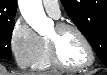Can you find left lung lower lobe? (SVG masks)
Instances as JSON below:
<instances>
[{
    "mask_svg": "<svg viewBox=\"0 0 107 75\" xmlns=\"http://www.w3.org/2000/svg\"><path fill=\"white\" fill-rule=\"evenodd\" d=\"M99 55H100V56H102V51H101V52H99Z\"/></svg>",
    "mask_w": 107,
    "mask_h": 75,
    "instance_id": "obj_1",
    "label": "left lung lower lobe"
}]
</instances>
